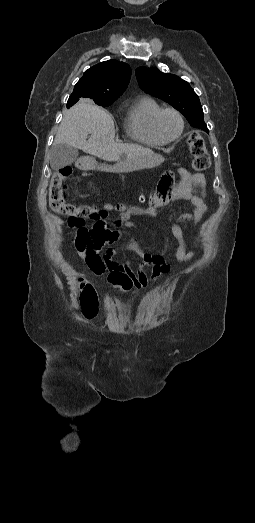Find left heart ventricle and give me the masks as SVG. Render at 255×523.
<instances>
[{
    "instance_id": "1",
    "label": "left heart ventricle",
    "mask_w": 255,
    "mask_h": 523,
    "mask_svg": "<svg viewBox=\"0 0 255 523\" xmlns=\"http://www.w3.org/2000/svg\"><path fill=\"white\" fill-rule=\"evenodd\" d=\"M158 128L162 136L166 139L175 137L180 129V122L172 112H165L158 121Z\"/></svg>"
}]
</instances>
